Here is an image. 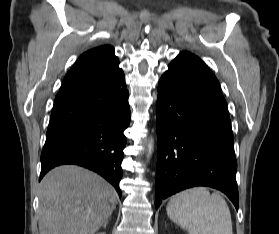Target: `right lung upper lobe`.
I'll list each match as a JSON object with an SVG mask.
<instances>
[{
  "label": "right lung upper lobe",
  "instance_id": "obj_1",
  "mask_svg": "<svg viewBox=\"0 0 279 234\" xmlns=\"http://www.w3.org/2000/svg\"><path fill=\"white\" fill-rule=\"evenodd\" d=\"M118 65L112 46L93 48L78 58L66 74L59 92L97 81L112 73Z\"/></svg>",
  "mask_w": 279,
  "mask_h": 234
}]
</instances>
